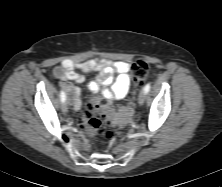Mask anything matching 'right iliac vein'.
<instances>
[{"instance_id": "1", "label": "right iliac vein", "mask_w": 222, "mask_h": 187, "mask_svg": "<svg viewBox=\"0 0 222 187\" xmlns=\"http://www.w3.org/2000/svg\"><path fill=\"white\" fill-rule=\"evenodd\" d=\"M61 109L64 113H66L68 111V102H63Z\"/></svg>"}]
</instances>
